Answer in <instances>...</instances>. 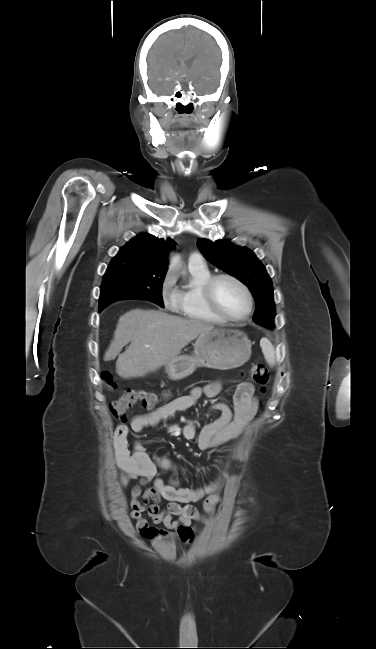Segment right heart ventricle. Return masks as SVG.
<instances>
[{"instance_id":"right-heart-ventricle-1","label":"right heart ventricle","mask_w":376,"mask_h":649,"mask_svg":"<svg viewBox=\"0 0 376 649\" xmlns=\"http://www.w3.org/2000/svg\"><path fill=\"white\" fill-rule=\"evenodd\" d=\"M212 276L206 264L188 265L187 275L177 287L178 303L175 310L182 316L196 321L223 324L225 321L206 304L203 286Z\"/></svg>"}]
</instances>
